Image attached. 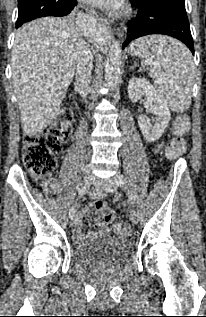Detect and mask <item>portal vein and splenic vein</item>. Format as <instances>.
Masks as SVG:
<instances>
[{"label": "portal vein and splenic vein", "instance_id": "portal-vein-and-splenic-vein-1", "mask_svg": "<svg viewBox=\"0 0 206 317\" xmlns=\"http://www.w3.org/2000/svg\"><path fill=\"white\" fill-rule=\"evenodd\" d=\"M150 76L154 78V77L157 76V74L156 73L155 74H150Z\"/></svg>", "mask_w": 206, "mask_h": 317}]
</instances>
